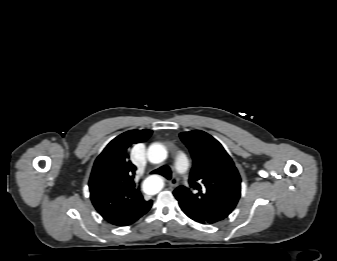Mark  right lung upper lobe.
<instances>
[{
	"mask_svg": "<svg viewBox=\"0 0 337 261\" xmlns=\"http://www.w3.org/2000/svg\"><path fill=\"white\" fill-rule=\"evenodd\" d=\"M151 130H130L113 139L96 159L89 180L90 198L98 213L117 226L130 225L144 215L152 201H145L135 181L136 166L129 148L146 141Z\"/></svg>",
	"mask_w": 337,
	"mask_h": 261,
	"instance_id": "1",
	"label": "right lung upper lobe"
}]
</instances>
